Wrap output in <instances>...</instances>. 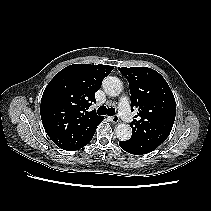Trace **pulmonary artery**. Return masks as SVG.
Returning a JSON list of instances; mask_svg holds the SVG:
<instances>
[{
    "label": "pulmonary artery",
    "instance_id": "e3ab8cb5",
    "mask_svg": "<svg viewBox=\"0 0 211 211\" xmlns=\"http://www.w3.org/2000/svg\"><path fill=\"white\" fill-rule=\"evenodd\" d=\"M118 111L121 118L127 122L130 123L133 120L132 114L129 109V101L127 98H122L118 105Z\"/></svg>",
    "mask_w": 211,
    "mask_h": 211
}]
</instances>
